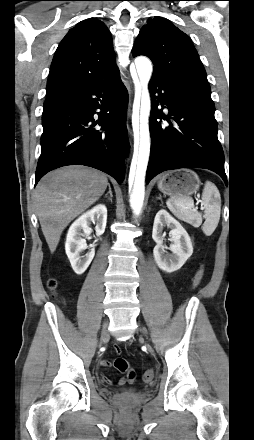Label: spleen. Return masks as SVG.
Segmentation results:
<instances>
[{"label": "spleen", "instance_id": "obj_1", "mask_svg": "<svg viewBox=\"0 0 254 440\" xmlns=\"http://www.w3.org/2000/svg\"><path fill=\"white\" fill-rule=\"evenodd\" d=\"M202 205L204 206L205 222L202 225V214L195 211L194 201L190 197L170 198L167 201L169 210L180 220L194 227L202 225V231L206 236L215 231L221 213V197L218 188L211 181H206L202 193Z\"/></svg>", "mask_w": 254, "mask_h": 440}]
</instances>
